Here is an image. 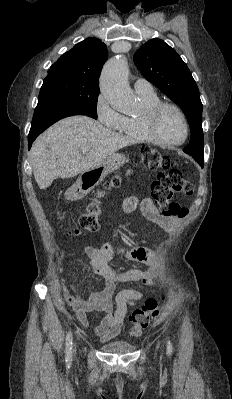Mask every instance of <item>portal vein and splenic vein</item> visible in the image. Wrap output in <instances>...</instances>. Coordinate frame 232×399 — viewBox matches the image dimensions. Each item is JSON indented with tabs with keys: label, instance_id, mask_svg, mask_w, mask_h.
I'll list each match as a JSON object with an SVG mask.
<instances>
[{
	"label": "portal vein and splenic vein",
	"instance_id": "1",
	"mask_svg": "<svg viewBox=\"0 0 232 399\" xmlns=\"http://www.w3.org/2000/svg\"><path fill=\"white\" fill-rule=\"evenodd\" d=\"M82 154H86V152H89L88 148H82L81 150Z\"/></svg>",
	"mask_w": 232,
	"mask_h": 399
}]
</instances>
